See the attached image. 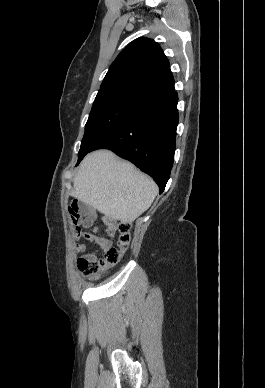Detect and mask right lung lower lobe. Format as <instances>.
<instances>
[{
    "instance_id": "98d812e1",
    "label": "right lung lower lobe",
    "mask_w": 265,
    "mask_h": 388,
    "mask_svg": "<svg viewBox=\"0 0 265 388\" xmlns=\"http://www.w3.org/2000/svg\"><path fill=\"white\" fill-rule=\"evenodd\" d=\"M177 103L174 87L152 96L127 120L100 139L91 151L106 148L129 160L154 178L162 193L174 161L179 120Z\"/></svg>"
}]
</instances>
